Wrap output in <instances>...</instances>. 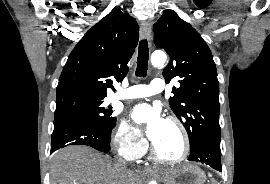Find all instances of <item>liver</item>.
I'll return each mask as SVG.
<instances>
[{"label":"liver","mask_w":270,"mask_h":184,"mask_svg":"<svg viewBox=\"0 0 270 184\" xmlns=\"http://www.w3.org/2000/svg\"><path fill=\"white\" fill-rule=\"evenodd\" d=\"M50 184H138L140 176L86 146H68L53 156Z\"/></svg>","instance_id":"liver-1"}]
</instances>
